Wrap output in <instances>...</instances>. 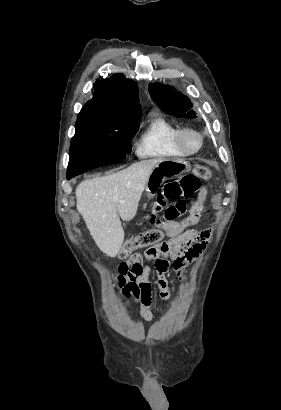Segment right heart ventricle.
Masks as SVG:
<instances>
[{
  "instance_id": "1",
  "label": "right heart ventricle",
  "mask_w": 281,
  "mask_h": 410,
  "mask_svg": "<svg viewBox=\"0 0 281 410\" xmlns=\"http://www.w3.org/2000/svg\"><path fill=\"white\" fill-rule=\"evenodd\" d=\"M180 127L167 118L153 114L147 121L137 143L136 152L140 158H175L185 154L177 142Z\"/></svg>"
}]
</instances>
